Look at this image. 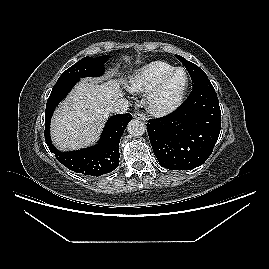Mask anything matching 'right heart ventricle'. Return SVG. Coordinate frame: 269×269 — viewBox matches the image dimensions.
Returning <instances> with one entry per match:
<instances>
[{
  "instance_id": "1",
  "label": "right heart ventricle",
  "mask_w": 269,
  "mask_h": 269,
  "mask_svg": "<svg viewBox=\"0 0 269 269\" xmlns=\"http://www.w3.org/2000/svg\"><path fill=\"white\" fill-rule=\"evenodd\" d=\"M174 68L169 62L162 60L149 62L129 75L126 87L132 93L149 92Z\"/></svg>"
}]
</instances>
